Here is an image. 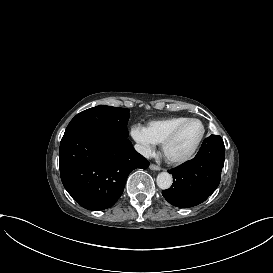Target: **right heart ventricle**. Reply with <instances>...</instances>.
Returning a JSON list of instances; mask_svg holds the SVG:
<instances>
[{
	"label": "right heart ventricle",
	"instance_id": "1",
	"mask_svg": "<svg viewBox=\"0 0 273 273\" xmlns=\"http://www.w3.org/2000/svg\"><path fill=\"white\" fill-rule=\"evenodd\" d=\"M189 118L188 116H176L165 119H158L150 121L147 125L146 132L150 139L155 143H162L164 138L170 131L180 122Z\"/></svg>",
	"mask_w": 273,
	"mask_h": 273
}]
</instances>
